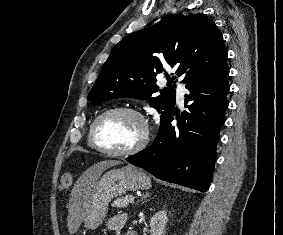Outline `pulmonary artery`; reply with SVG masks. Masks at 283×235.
Returning a JSON list of instances; mask_svg holds the SVG:
<instances>
[{
  "label": "pulmonary artery",
  "instance_id": "1",
  "mask_svg": "<svg viewBox=\"0 0 283 235\" xmlns=\"http://www.w3.org/2000/svg\"><path fill=\"white\" fill-rule=\"evenodd\" d=\"M185 91H186V89H185L184 84L179 83V84L177 85V92H178L177 99H178V102H179L180 104L183 103V100H184L183 94H184Z\"/></svg>",
  "mask_w": 283,
  "mask_h": 235
}]
</instances>
